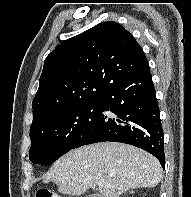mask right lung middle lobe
I'll return each instance as SVG.
<instances>
[{"label":"right lung middle lobe","instance_id":"1","mask_svg":"<svg viewBox=\"0 0 191 197\" xmlns=\"http://www.w3.org/2000/svg\"><path fill=\"white\" fill-rule=\"evenodd\" d=\"M98 102L63 110L30 128V161L48 165L73 148L98 114Z\"/></svg>","mask_w":191,"mask_h":197}]
</instances>
